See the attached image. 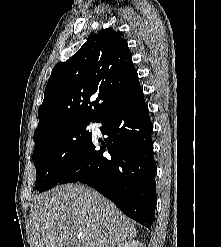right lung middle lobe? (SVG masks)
Returning a JSON list of instances; mask_svg holds the SVG:
<instances>
[{"mask_svg":"<svg viewBox=\"0 0 221 247\" xmlns=\"http://www.w3.org/2000/svg\"><path fill=\"white\" fill-rule=\"evenodd\" d=\"M86 122H68L34 137L32 155L37 174V190L47 191L59 183L73 162L80 156L92 133Z\"/></svg>","mask_w":221,"mask_h":247,"instance_id":"1","label":"right lung middle lobe"}]
</instances>
